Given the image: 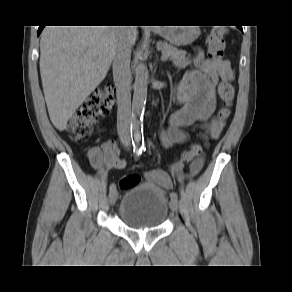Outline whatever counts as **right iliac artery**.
<instances>
[{
	"mask_svg": "<svg viewBox=\"0 0 292 292\" xmlns=\"http://www.w3.org/2000/svg\"><path fill=\"white\" fill-rule=\"evenodd\" d=\"M134 153H135V156H136V158L137 157H139L140 155H141V153H142V149H139V148H136L135 150H134ZM116 188H115V185L114 184H111L110 185V191H114Z\"/></svg>",
	"mask_w": 292,
	"mask_h": 292,
	"instance_id": "82829eb1",
	"label": "right iliac artery"
}]
</instances>
